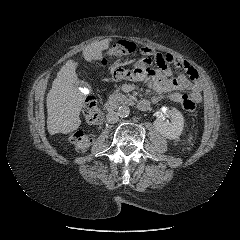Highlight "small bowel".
I'll list each match as a JSON object with an SVG mask.
<instances>
[{
	"label": "small bowel",
	"instance_id": "obj_1",
	"mask_svg": "<svg viewBox=\"0 0 240 240\" xmlns=\"http://www.w3.org/2000/svg\"><path fill=\"white\" fill-rule=\"evenodd\" d=\"M140 53L144 59L135 62L132 71L115 68L111 72L110 81L127 79L147 82L157 92L151 99L153 103L159 102L164 97L174 102H181V97L184 95L181 91L188 92L189 97L195 102H200L201 85L198 73L187 61L170 53L162 54L152 47H142ZM153 64L157 68L152 67ZM170 65L183 72L171 78L174 71Z\"/></svg>",
	"mask_w": 240,
	"mask_h": 240
}]
</instances>
